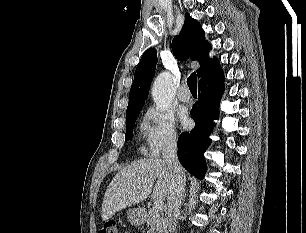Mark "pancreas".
<instances>
[{"mask_svg":"<svg viewBox=\"0 0 306 233\" xmlns=\"http://www.w3.org/2000/svg\"><path fill=\"white\" fill-rule=\"evenodd\" d=\"M147 226L149 227V233H167L162 210L155 208L149 209Z\"/></svg>","mask_w":306,"mask_h":233,"instance_id":"cf45deb5","label":"pancreas"}]
</instances>
